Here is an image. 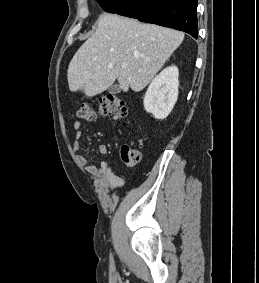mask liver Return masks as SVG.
<instances>
[{"label": "liver", "mask_w": 259, "mask_h": 283, "mask_svg": "<svg viewBox=\"0 0 259 283\" xmlns=\"http://www.w3.org/2000/svg\"><path fill=\"white\" fill-rule=\"evenodd\" d=\"M184 33L116 14H103L95 33L73 56L67 71L69 89L93 97L117 79L120 88H145L180 46ZM127 64L126 68L121 65Z\"/></svg>", "instance_id": "obj_1"}]
</instances>
